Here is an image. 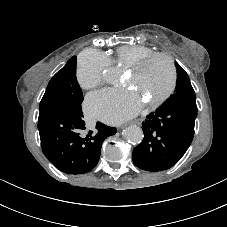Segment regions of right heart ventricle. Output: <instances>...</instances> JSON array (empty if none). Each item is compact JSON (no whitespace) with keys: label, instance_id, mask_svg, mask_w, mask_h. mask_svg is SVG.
Masks as SVG:
<instances>
[{"label":"right heart ventricle","instance_id":"right-heart-ventricle-1","mask_svg":"<svg viewBox=\"0 0 227 227\" xmlns=\"http://www.w3.org/2000/svg\"><path fill=\"white\" fill-rule=\"evenodd\" d=\"M155 53L153 48L143 45H123L116 48L111 60L118 66L128 68L139 59Z\"/></svg>","mask_w":227,"mask_h":227}]
</instances>
